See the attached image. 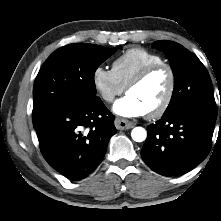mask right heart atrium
Listing matches in <instances>:
<instances>
[{
  "label": "right heart atrium",
  "instance_id": "d8ad5b80",
  "mask_svg": "<svg viewBox=\"0 0 221 221\" xmlns=\"http://www.w3.org/2000/svg\"><path fill=\"white\" fill-rule=\"evenodd\" d=\"M92 83L100 98L111 103L123 93L125 87L118 81L112 70L98 66L92 73Z\"/></svg>",
  "mask_w": 221,
  "mask_h": 221
}]
</instances>
